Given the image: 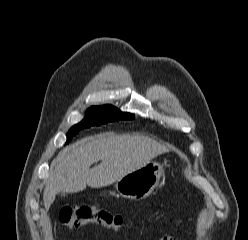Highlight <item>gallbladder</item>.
Wrapping results in <instances>:
<instances>
[{"label": "gallbladder", "mask_w": 248, "mask_h": 240, "mask_svg": "<svg viewBox=\"0 0 248 240\" xmlns=\"http://www.w3.org/2000/svg\"><path fill=\"white\" fill-rule=\"evenodd\" d=\"M62 196H65V193H62V194H61V197H62Z\"/></svg>", "instance_id": "gallbladder-1"}]
</instances>
